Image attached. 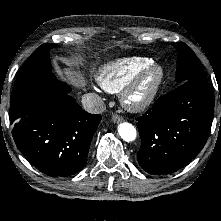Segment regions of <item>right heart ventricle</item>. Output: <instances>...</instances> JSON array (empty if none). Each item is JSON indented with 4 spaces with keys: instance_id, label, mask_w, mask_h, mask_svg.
Wrapping results in <instances>:
<instances>
[{
    "instance_id": "right-heart-ventricle-1",
    "label": "right heart ventricle",
    "mask_w": 221,
    "mask_h": 221,
    "mask_svg": "<svg viewBox=\"0 0 221 221\" xmlns=\"http://www.w3.org/2000/svg\"><path fill=\"white\" fill-rule=\"evenodd\" d=\"M153 63L146 57L117 59L101 65L95 73L98 85L109 93H117L142 69Z\"/></svg>"
}]
</instances>
